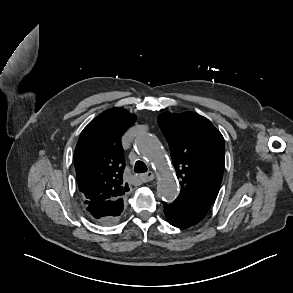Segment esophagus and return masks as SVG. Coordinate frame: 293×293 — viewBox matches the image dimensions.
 <instances>
[{
  "mask_svg": "<svg viewBox=\"0 0 293 293\" xmlns=\"http://www.w3.org/2000/svg\"><path fill=\"white\" fill-rule=\"evenodd\" d=\"M140 178L145 183V182L152 181L155 178V176L151 171H149V172L141 175Z\"/></svg>",
  "mask_w": 293,
  "mask_h": 293,
  "instance_id": "esophagus-1",
  "label": "esophagus"
}]
</instances>
